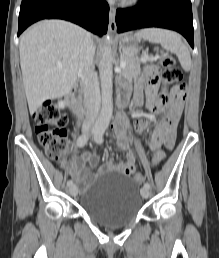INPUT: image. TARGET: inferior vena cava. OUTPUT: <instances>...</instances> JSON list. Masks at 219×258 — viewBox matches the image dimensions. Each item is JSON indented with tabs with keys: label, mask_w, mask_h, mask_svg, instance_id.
<instances>
[{
	"label": "inferior vena cava",
	"mask_w": 219,
	"mask_h": 258,
	"mask_svg": "<svg viewBox=\"0 0 219 258\" xmlns=\"http://www.w3.org/2000/svg\"><path fill=\"white\" fill-rule=\"evenodd\" d=\"M95 45L90 33H87L79 58V75L82 80L86 117L82 128L89 131L97 119L101 97L97 73L94 68Z\"/></svg>",
	"instance_id": "1"
}]
</instances>
